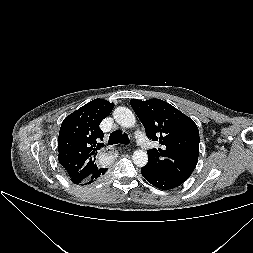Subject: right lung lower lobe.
Instances as JSON below:
<instances>
[{
    "mask_svg": "<svg viewBox=\"0 0 253 253\" xmlns=\"http://www.w3.org/2000/svg\"><path fill=\"white\" fill-rule=\"evenodd\" d=\"M106 171H107V169H104L101 172L94 174V176L90 180L86 181L85 183L79 184V185H88V184H91V183L97 181L105 174Z\"/></svg>",
    "mask_w": 253,
    "mask_h": 253,
    "instance_id": "1",
    "label": "right lung lower lobe"
}]
</instances>
